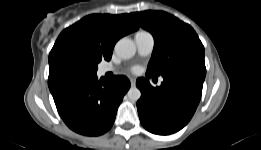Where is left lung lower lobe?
I'll use <instances>...</instances> for the list:
<instances>
[{
    "label": "left lung lower lobe",
    "instance_id": "obj_1",
    "mask_svg": "<svg viewBox=\"0 0 261 150\" xmlns=\"http://www.w3.org/2000/svg\"><path fill=\"white\" fill-rule=\"evenodd\" d=\"M206 70L180 67L163 75L159 87H152L145 78H138L141 98L137 101L140 121L145 129L168 135L182 129L192 118L202 94ZM147 78L152 77L146 73Z\"/></svg>",
    "mask_w": 261,
    "mask_h": 150
}]
</instances>
